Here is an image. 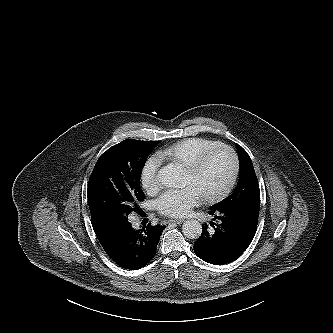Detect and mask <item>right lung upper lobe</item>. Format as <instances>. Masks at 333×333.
<instances>
[{
    "mask_svg": "<svg viewBox=\"0 0 333 333\" xmlns=\"http://www.w3.org/2000/svg\"><path fill=\"white\" fill-rule=\"evenodd\" d=\"M96 235H101V234H105L108 232V229H104V230H94Z\"/></svg>",
    "mask_w": 333,
    "mask_h": 333,
    "instance_id": "obj_1",
    "label": "right lung upper lobe"
}]
</instances>
